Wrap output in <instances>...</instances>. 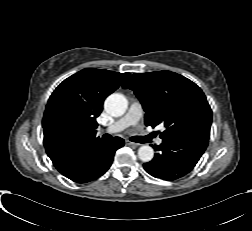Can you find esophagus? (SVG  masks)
<instances>
[{
    "mask_svg": "<svg viewBox=\"0 0 252 231\" xmlns=\"http://www.w3.org/2000/svg\"><path fill=\"white\" fill-rule=\"evenodd\" d=\"M126 144L128 146H132V147H137L139 145L138 143H135V142H132V141H129V140H126Z\"/></svg>",
    "mask_w": 252,
    "mask_h": 231,
    "instance_id": "1",
    "label": "esophagus"
}]
</instances>
